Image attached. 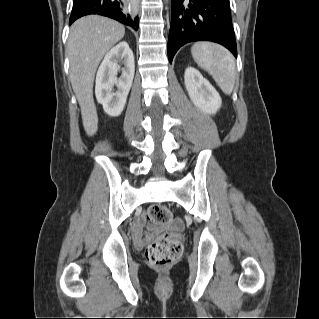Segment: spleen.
<instances>
[{
    "label": "spleen",
    "mask_w": 319,
    "mask_h": 319,
    "mask_svg": "<svg viewBox=\"0 0 319 319\" xmlns=\"http://www.w3.org/2000/svg\"><path fill=\"white\" fill-rule=\"evenodd\" d=\"M191 53L195 62L212 75L225 94L230 95L236 75L232 54L224 47L209 42L195 43Z\"/></svg>",
    "instance_id": "1"
}]
</instances>
